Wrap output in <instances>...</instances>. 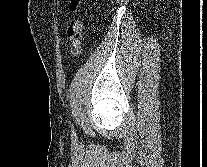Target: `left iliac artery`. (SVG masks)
Wrapping results in <instances>:
<instances>
[{"label": "left iliac artery", "mask_w": 207, "mask_h": 167, "mask_svg": "<svg viewBox=\"0 0 207 167\" xmlns=\"http://www.w3.org/2000/svg\"><path fill=\"white\" fill-rule=\"evenodd\" d=\"M74 137H76V133H75V131H74V128H73V134H72Z\"/></svg>", "instance_id": "1"}]
</instances>
